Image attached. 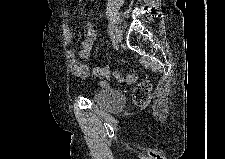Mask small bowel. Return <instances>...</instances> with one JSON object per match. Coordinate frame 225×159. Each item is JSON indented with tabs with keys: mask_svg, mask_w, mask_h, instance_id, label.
Listing matches in <instances>:
<instances>
[{
	"mask_svg": "<svg viewBox=\"0 0 225 159\" xmlns=\"http://www.w3.org/2000/svg\"><path fill=\"white\" fill-rule=\"evenodd\" d=\"M67 40H71V35H67ZM95 42V34L91 26L88 27L87 36L82 41L78 52L74 49H69L68 56H69V65L71 72L80 78L86 79L90 76V69L87 61L92 56V50Z\"/></svg>",
	"mask_w": 225,
	"mask_h": 159,
	"instance_id": "c3829d8e",
	"label": "small bowel"
}]
</instances>
